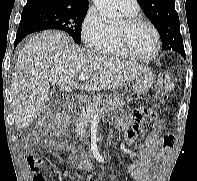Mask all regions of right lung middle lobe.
<instances>
[{
  "label": "right lung middle lobe",
  "instance_id": "1",
  "mask_svg": "<svg viewBox=\"0 0 197 181\" xmlns=\"http://www.w3.org/2000/svg\"><path fill=\"white\" fill-rule=\"evenodd\" d=\"M86 14L87 9L35 7L23 9L21 21L37 24L43 29L63 30L69 33L76 43H81V26Z\"/></svg>",
  "mask_w": 197,
  "mask_h": 181
}]
</instances>
